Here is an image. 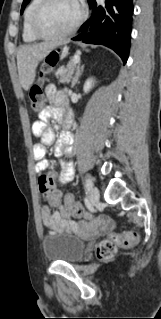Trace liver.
I'll use <instances>...</instances> for the list:
<instances>
[{
	"label": "liver",
	"mask_w": 161,
	"mask_h": 319,
	"mask_svg": "<svg viewBox=\"0 0 161 319\" xmlns=\"http://www.w3.org/2000/svg\"><path fill=\"white\" fill-rule=\"evenodd\" d=\"M56 46L55 42L22 45L17 50V66L22 88L27 91L36 76L39 62Z\"/></svg>",
	"instance_id": "1"
}]
</instances>
